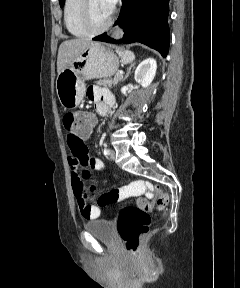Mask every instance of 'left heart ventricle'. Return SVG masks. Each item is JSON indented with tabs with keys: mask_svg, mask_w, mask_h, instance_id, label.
<instances>
[{
	"mask_svg": "<svg viewBox=\"0 0 240 288\" xmlns=\"http://www.w3.org/2000/svg\"><path fill=\"white\" fill-rule=\"evenodd\" d=\"M89 10L91 22L94 26L103 25L110 17L100 0H89Z\"/></svg>",
	"mask_w": 240,
	"mask_h": 288,
	"instance_id": "b2bd125f",
	"label": "left heart ventricle"
}]
</instances>
